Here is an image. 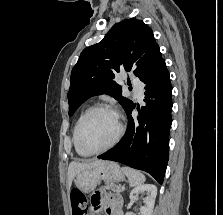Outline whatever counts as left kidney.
<instances>
[{
    "mask_svg": "<svg viewBox=\"0 0 223 215\" xmlns=\"http://www.w3.org/2000/svg\"><path fill=\"white\" fill-rule=\"evenodd\" d=\"M142 191H147V197H144L143 207H140L141 215H152L155 197L157 195V187L156 185H152V183H144V185H137L132 189L129 197L130 199H137L138 193H142ZM130 215V213H127Z\"/></svg>",
    "mask_w": 223,
    "mask_h": 215,
    "instance_id": "obj_1",
    "label": "left kidney"
}]
</instances>
